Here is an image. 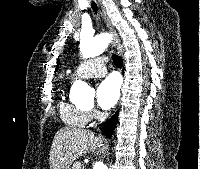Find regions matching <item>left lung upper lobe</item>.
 Segmentation results:
<instances>
[{"mask_svg": "<svg viewBox=\"0 0 200 169\" xmlns=\"http://www.w3.org/2000/svg\"><path fill=\"white\" fill-rule=\"evenodd\" d=\"M57 63H59V61H57ZM58 66H59V65H57V67H56V70H55V71H57V69H58Z\"/></svg>", "mask_w": 200, "mask_h": 169, "instance_id": "left-lung-upper-lobe-1", "label": "left lung upper lobe"}]
</instances>
